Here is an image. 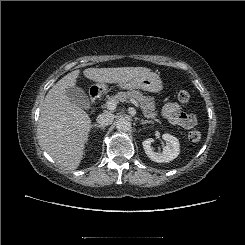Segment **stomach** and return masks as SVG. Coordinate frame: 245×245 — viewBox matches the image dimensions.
<instances>
[{
	"label": "stomach",
	"mask_w": 245,
	"mask_h": 245,
	"mask_svg": "<svg viewBox=\"0 0 245 245\" xmlns=\"http://www.w3.org/2000/svg\"><path fill=\"white\" fill-rule=\"evenodd\" d=\"M118 85L124 89H141L153 93H160L163 90L162 81L159 75L154 72L137 76L128 81L118 83ZM96 86L98 89L106 90V85L104 83H99Z\"/></svg>",
	"instance_id": "obj_1"
}]
</instances>
